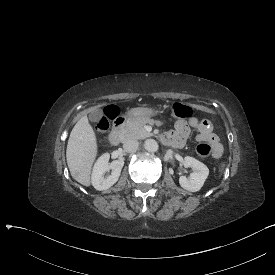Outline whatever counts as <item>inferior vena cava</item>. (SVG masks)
I'll list each match as a JSON object with an SVG mask.
<instances>
[{
	"mask_svg": "<svg viewBox=\"0 0 275 275\" xmlns=\"http://www.w3.org/2000/svg\"><path fill=\"white\" fill-rule=\"evenodd\" d=\"M139 143L137 140H128L123 144V149L128 153H134L137 151Z\"/></svg>",
	"mask_w": 275,
	"mask_h": 275,
	"instance_id": "602c4592",
	"label": "inferior vena cava"
}]
</instances>
